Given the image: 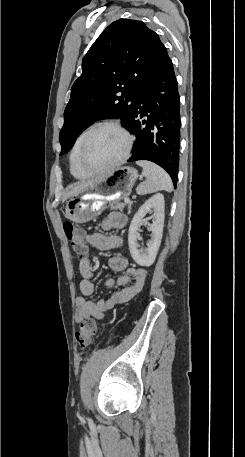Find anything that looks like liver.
Here are the masks:
<instances>
[{
	"mask_svg": "<svg viewBox=\"0 0 245 457\" xmlns=\"http://www.w3.org/2000/svg\"><path fill=\"white\" fill-rule=\"evenodd\" d=\"M95 180L96 178H93V180H86V182H78L77 186H74V188H71V190L65 194L64 200H66V198H70V196H74L77 192H81V190H84L86 186H89V184H92Z\"/></svg>",
	"mask_w": 245,
	"mask_h": 457,
	"instance_id": "liver-1",
	"label": "liver"
}]
</instances>
